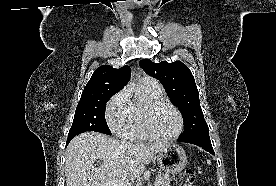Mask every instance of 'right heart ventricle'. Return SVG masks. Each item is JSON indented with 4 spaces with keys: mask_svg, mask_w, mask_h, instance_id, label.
Instances as JSON below:
<instances>
[{
    "mask_svg": "<svg viewBox=\"0 0 276 186\" xmlns=\"http://www.w3.org/2000/svg\"><path fill=\"white\" fill-rule=\"evenodd\" d=\"M140 88L144 95L146 96L147 103L162 98V90L152 88L144 83H140ZM147 103H141L136 101L130 104L131 112H132V124L131 126L122 132L120 135L124 138L131 140H148L150 137L148 136L144 124H143V112Z\"/></svg>",
    "mask_w": 276,
    "mask_h": 186,
    "instance_id": "obj_1",
    "label": "right heart ventricle"
}]
</instances>
